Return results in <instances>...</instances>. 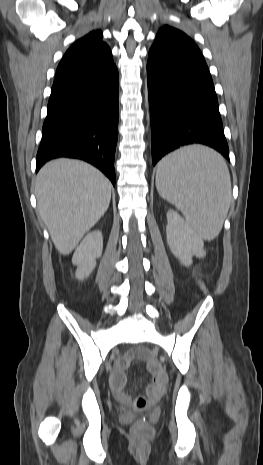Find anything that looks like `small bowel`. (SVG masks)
<instances>
[{"label": "small bowel", "mask_w": 263, "mask_h": 465, "mask_svg": "<svg viewBox=\"0 0 263 465\" xmlns=\"http://www.w3.org/2000/svg\"><path fill=\"white\" fill-rule=\"evenodd\" d=\"M137 356L136 352H130L126 354L125 356L121 357L112 372L111 379H110V384L111 388L116 395V397L124 402H127L130 400V397L125 393L124 389L126 386L127 382V377H126V370L130 365V362L132 361L133 358ZM166 384V376L165 374L158 370H154V379L152 385L148 388V393L150 394L152 390L158 389L160 391H163L164 387Z\"/></svg>", "instance_id": "small-bowel-1"}]
</instances>
